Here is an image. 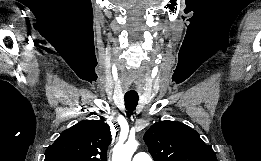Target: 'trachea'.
<instances>
[{
	"label": "trachea",
	"mask_w": 261,
	"mask_h": 161,
	"mask_svg": "<svg viewBox=\"0 0 261 161\" xmlns=\"http://www.w3.org/2000/svg\"><path fill=\"white\" fill-rule=\"evenodd\" d=\"M139 97L135 95H125V107L128 112L132 113L138 104Z\"/></svg>",
	"instance_id": "trachea-1"
}]
</instances>
